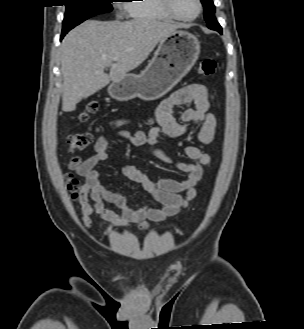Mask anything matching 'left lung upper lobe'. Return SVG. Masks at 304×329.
I'll list each match as a JSON object with an SVG mask.
<instances>
[{"instance_id":"1","label":"left lung upper lobe","mask_w":304,"mask_h":329,"mask_svg":"<svg viewBox=\"0 0 304 329\" xmlns=\"http://www.w3.org/2000/svg\"><path fill=\"white\" fill-rule=\"evenodd\" d=\"M204 6V18L208 25L212 22V19L215 18V6L213 0H201Z\"/></svg>"}]
</instances>
